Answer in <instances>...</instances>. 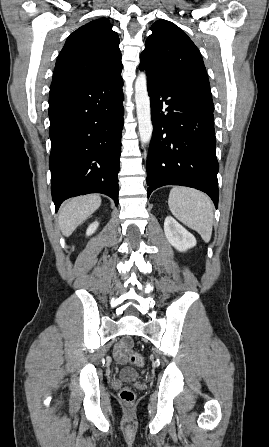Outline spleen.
Instances as JSON below:
<instances>
[{"mask_svg": "<svg viewBox=\"0 0 269 447\" xmlns=\"http://www.w3.org/2000/svg\"><path fill=\"white\" fill-rule=\"evenodd\" d=\"M168 206L182 224L196 229L204 241H210L213 225V204L203 192L193 188H172Z\"/></svg>", "mask_w": 269, "mask_h": 447, "instance_id": "3e777b00", "label": "spleen"}]
</instances>
